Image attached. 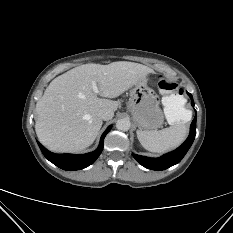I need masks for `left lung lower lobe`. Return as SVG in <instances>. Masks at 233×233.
Masks as SVG:
<instances>
[{
	"instance_id": "0a47b994",
	"label": "left lung lower lobe",
	"mask_w": 233,
	"mask_h": 233,
	"mask_svg": "<svg viewBox=\"0 0 233 233\" xmlns=\"http://www.w3.org/2000/svg\"><path fill=\"white\" fill-rule=\"evenodd\" d=\"M191 104L194 106L193 97L190 93ZM196 135V111L195 118L191 123L190 134L186 141L176 150L163 155L160 158H149L141 155L133 154L134 158L145 168L162 171L177 163H179L191 147Z\"/></svg>"
}]
</instances>
